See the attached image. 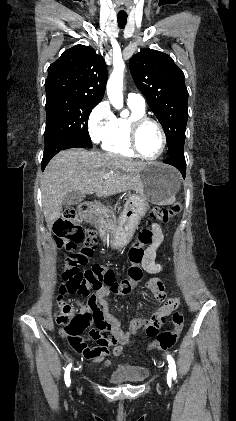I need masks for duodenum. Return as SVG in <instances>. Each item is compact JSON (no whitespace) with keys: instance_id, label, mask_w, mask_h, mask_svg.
<instances>
[{"instance_id":"obj_1","label":"duodenum","mask_w":236,"mask_h":421,"mask_svg":"<svg viewBox=\"0 0 236 421\" xmlns=\"http://www.w3.org/2000/svg\"><path fill=\"white\" fill-rule=\"evenodd\" d=\"M79 212L81 219L90 222L96 220L98 205L96 202L91 200H84L79 204ZM106 334V341L109 344H112L115 340L123 341L124 337L120 334L118 329H115L113 326L108 328Z\"/></svg>"}]
</instances>
